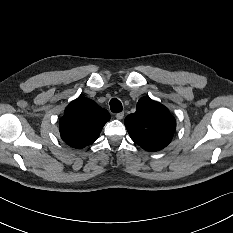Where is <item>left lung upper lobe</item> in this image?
Returning a JSON list of instances; mask_svg holds the SVG:
<instances>
[{
  "label": "left lung upper lobe",
  "instance_id": "5c2ea615",
  "mask_svg": "<svg viewBox=\"0 0 233 233\" xmlns=\"http://www.w3.org/2000/svg\"><path fill=\"white\" fill-rule=\"evenodd\" d=\"M131 139L147 151H159L172 140L176 121L162 104L142 97L136 112L125 118Z\"/></svg>",
  "mask_w": 233,
  "mask_h": 233
}]
</instances>
